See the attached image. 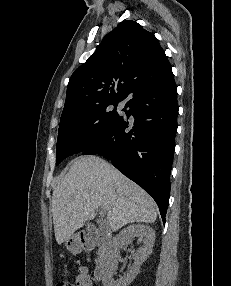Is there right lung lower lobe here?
I'll list each match as a JSON object with an SVG mask.
<instances>
[{
  "label": "right lung lower lobe",
  "mask_w": 231,
  "mask_h": 286,
  "mask_svg": "<svg viewBox=\"0 0 231 286\" xmlns=\"http://www.w3.org/2000/svg\"><path fill=\"white\" fill-rule=\"evenodd\" d=\"M127 119L121 116L97 141L83 151L110 159L125 176L156 201L163 222L170 197V173L177 132V88L172 70L162 78L140 82L127 93Z\"/></svg>",
  "instance_id": "98d812e1"
}]
</instances>
